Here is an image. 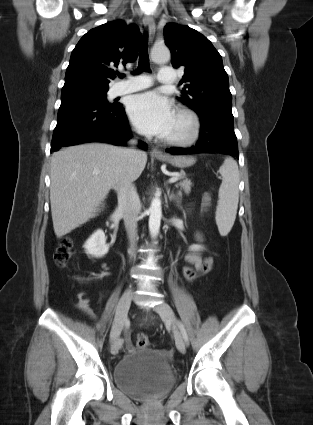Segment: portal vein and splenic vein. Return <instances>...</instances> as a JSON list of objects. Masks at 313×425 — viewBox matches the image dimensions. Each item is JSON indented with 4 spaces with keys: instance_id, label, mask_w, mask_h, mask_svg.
I'll return each instance as SVG.
<instances>
[{
    "instance_id": "portal-vein-and-splenic-vein-1",
    "label": "portal vein and splenic vein",
    "mask_w": 313,
    "mask_h": 425,
    "mask_svg": "<svg viewBox=\"0 0 313 425\" xmlns=\"http://www.w3.org/2000/svg\"><path fill=\"white\" fill-rule=\"evenodd\" d=\"M94 174H98L99 170H94ZM180 179V176H173L169 179V183H175Z\"/></svg>"
}]
</instances>
